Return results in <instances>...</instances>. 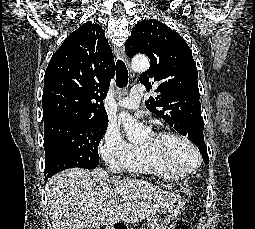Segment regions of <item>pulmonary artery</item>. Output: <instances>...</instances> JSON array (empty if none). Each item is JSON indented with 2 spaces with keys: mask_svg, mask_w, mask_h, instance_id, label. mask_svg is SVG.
I'll use <instances>...</instances> for the list:
<instances>
[{
  "mask_svg": "<svg viewBox=\"0 0 255 229\" xmlns=\"http://www.w3.org/2000/svg\"><path fill=\"white\" fill-rule=\"evenodd\" d=\"M144 95L143 86L136 84L130 90L129 96L122 98L118 101L121 108L136 109L139 106L140 100Z\"/></svg>",
  "mask_w": 255,
  "mask_h": 229,
  "instance_id": "e3ab8cb5",
  "label": "pulmonary artery"
}]
</instances>
